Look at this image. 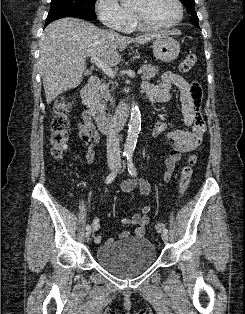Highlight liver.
<instances>
[{
    "label": "liver",
    "mask_w": 245,
    "mask_h": 314,
    "mask_svg": "<svg viewBox=\"0 0 245 314\" xmlns=\"http://www.w3.org/2000/svg\"><path fill=\"white\" fill-rule=\"evenodd\" d=\"M175 34L180 32L147 33L130 38L76 18L67 17L50 23L39 45V71L47 103L80 85L86 69V57L97 56L115 66L121 60L119 52L127 45L145 44L157 37Z\"/></svg>",
    "instance_id": "liver-1"
}]
</instances>
